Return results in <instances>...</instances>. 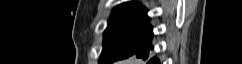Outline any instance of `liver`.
<instances>
[{
    "label": "liver",
    "mask_w": 242,
    "mask_h": 64,
    "mask_svg": "<svg viewBox=\"0 0 242 64\" xmlns=\"http://www.w3.org/2000/svg\"><path fill=\"white\" fill-rule=\"evenodd\" d=\"M117 64H143L141 60L136 57H131L127 60L119 61Z\"/></svg>",
    "instance_id": "liver-1"
}]
</instances>
